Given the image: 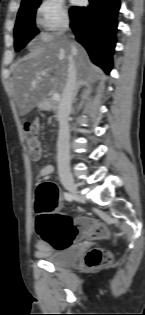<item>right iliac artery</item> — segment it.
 I'll list each match as a JSON object with an SVG mask.
<instances>
[{
  "label": "right iliac artery",
  "mask_w": 145,
  "mask_h": 315,
  "mask_svg": "<svg viewBox=\"0 0 145 315\" xmlns=\"http://www.w3.org/2000/svg\"><path fill=\"white\" fill-rule=\"evenodd\" d=\"M64 198L67 201H72L73 200V196L70 193H68V192H64Z\"/></svg>",
  "instance_id": "1"
}]
</instances>
